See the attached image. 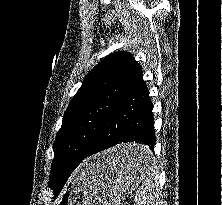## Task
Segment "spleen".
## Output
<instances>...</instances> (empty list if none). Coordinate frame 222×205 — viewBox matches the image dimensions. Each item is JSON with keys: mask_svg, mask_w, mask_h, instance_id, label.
Instances as JSON below:
<instances>
[{"mask_svg": "<svg viewBox=\"0 0 222 205\" xmlns=\"http://www.w3.org/2000/svg\"><path fill=\"white\" fill-rule=\"evenodd\" d=\"M160 186L158 183V172L151 164L146 173L144 183L136 192L137 205H160Z\"/></svg>", "mask_w": 222, "mask_h": 205, "instance_id": "1", "label": "spleen"}]
</instances>
